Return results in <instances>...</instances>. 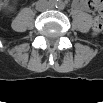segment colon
Here are the masks:
<instances>
[{
    "label": "colon",
    "mask_w": 103,
    "mask_h": 103,
    "mask_svg": "<svg viewBox=\"0 0 103 103\" xmlns=\"http://www.w3.org/2000/svg\"><path fill=\"white\" fill-rule=\"evenodd\" d=\"M89 3L90 10L96 12L98 15L96 16L93 26H92V31L94 35L99 34L102 29H103V19H102V2L98 0H93Z\"/></svg>",
    "instance_id": "5ec220e1"
}]
</instances>
